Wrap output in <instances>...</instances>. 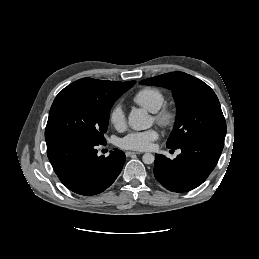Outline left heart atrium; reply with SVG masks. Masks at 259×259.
Returning a JSON list of instances; mask_svg holds the SVG:
<instances>
[{"instance_id":"obj_1","label":"left heart atrium","mask_w":259,"mask_h":259,"mask_svg":"<svg viewBox=\"0 0 259 259\" xmlns=\"http://www.w3.org/2000/svg\"><path fill=\"white\" fill-rule=\"evenodd\" d=\"M158 136L159 134L155 129L131 132L119 141V145L124 149L144 151L151 147Z\"/></svg>"}]
</instances>
